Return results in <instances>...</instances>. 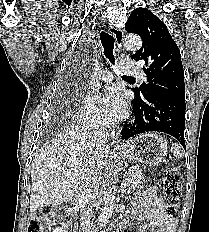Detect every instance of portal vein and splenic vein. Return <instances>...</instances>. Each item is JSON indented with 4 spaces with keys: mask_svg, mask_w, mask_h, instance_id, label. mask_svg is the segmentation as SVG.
<instances>
[{
    "mask_svg": "<svg viewBox=\"0 0 209 232\" xmlns=\"http://www.w3.org/2000/svg\"><path fill=\"white\" fill-rule=\"evenodd\" d=\"M128 175H131V172H128Z\"/></svg>",
    "mask_w": 209,
    "mask_h": 232,
    "instance_id": "1",
    "label": "portal vein and splenic vein"
}]
</instances>
